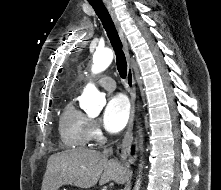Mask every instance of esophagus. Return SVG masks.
I'll return each mask as SVG.
<instances>
[{
  "label": "esophagus",
  "instance_id": "1",
  "mask_svg": "<svg viewBox=\"0 0 221 190\" xmlns=\"http://www.w3.org/2000/svg\"><path fill=\"white\" fill-rule=\"evenodd\" d=\"M105 3V6L114 22V25L118 31V34L120 36V39L123 44V50L125 53V56L127 58L128 62V68H127V86H128V91L130 94V102H131V111H130V118L127 126V130L125 132V135L122 140V154L123 158L125 159L129 153L132 141H133V124H134V117H135V101H136V87H135V79H134V73H133V66H132V61L131 57L129 54V48H128V42L126 39V36L123 32V29L120 25V22L118 21L116 14L114 12V9L108 0H103Z\"/></svg>",
  "mask_w": 221,
  "mask_h": 190
}]
</instances>
